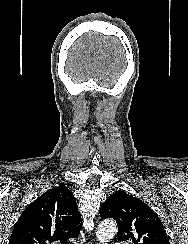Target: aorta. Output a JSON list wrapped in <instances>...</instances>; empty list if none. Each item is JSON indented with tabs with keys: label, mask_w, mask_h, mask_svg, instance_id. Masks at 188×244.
Here are the masks:
<instances>
[{
	"label": "aorta",
	"mask_w": 188,
	"mask_h": 244,
	"mask_svg": "<svg viewBox=\"0 0 188 244\" xmlns=\"http://www.w3.org/2000/svg\"><path fill=\"white\" fill-rule=\"evenodd\" d=\"M117 225L113 220L102 221L96 232L97 239L101 244H107L116 234Z\"/></svg>",
	"instance_id": "aorta-1"
}]
</instances>
